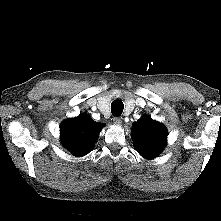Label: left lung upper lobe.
<instances>
[{
	"label": "left lung upper lobe",
	"mask_w": 221,
	"mask_h": 221,
	"mask_svg": "<svg viewBox=\"0 0 221 221\" xmlns=\"http://www.w3.org/2000/svg\"><path fill=\"white\" fill-rule=\"evenodd\" d=\"M131 131L136 151L146 159L155 158L166 145V128L149 116L143 115L132 125Z\"/></svg>",
	"instance_id": "1"
}]
</instances>
